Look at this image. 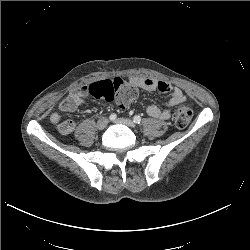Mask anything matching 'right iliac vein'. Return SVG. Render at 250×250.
Listing matches in <instances>:
<instances>
[{
  "label": "right iliac vein",
  "mask_w": 250,
  "mask_h": 250,
  "mask_svg": "<svg viewBox=\"0 0 250 250\" xmlns=\"http://www.w3.org/2000/svg\"><path fill=\"white\" fill-rule=\"evenodd\" d=\"M108 124V119L106 117H101L96 123V127L99 130H103Z\"/></svg>",
  "instance_id": "obj_1"
}]
</instances>
